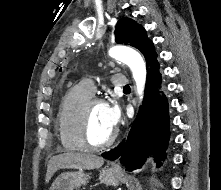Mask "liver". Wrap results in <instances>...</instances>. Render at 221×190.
Segmentation results:
<instances>
[{"mask_svg": "<svg viewBox=\"0 0 221 190\" xmlns=\"http://www.w3.org/2000/svg\"><path fill=\"white\" fill-rule=\"evenodd\" d=\"M104 164V159L94 154L64 152L53 156L47 165L45 182L48 183L59 169H96Z\"/></svg>", "mask_w": 221, "mask_h": 190, "instance_id": "1", "label": "liver"}]
</instances>
